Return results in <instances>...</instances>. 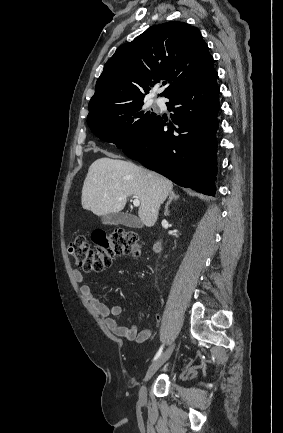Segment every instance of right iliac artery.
Listing matches in <instances>:
<instances>
[{"mask_svg": "<svg viewBox=\"0 0 283 433\" xmlns=\"http://www.w3.org/2000/svg\"><path fill=\"white\" fill-rule=\"evenodd\" d=\"M162 350H163V345L160 347V349L158 350V352L156 353L154 360H156L157 358L160 357V355L162 354Z\"/></svg>", "mask_w": 283, "mask_h": 433, "instance_id": "82829eb1", "label": "right iliac artery"}]
</instances>
